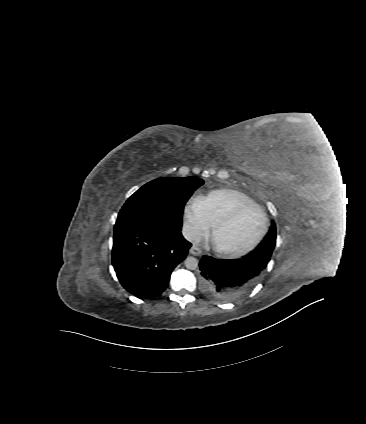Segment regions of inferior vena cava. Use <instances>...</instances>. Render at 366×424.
Instances as JSON below:
<instances>
[{
	"instance_id": "inferior-vena-cava-1",
	"label": "inferior vena cava",
	"mask_w": 366,
	"mask_h": 424,
	"mask_svg": "<svg viewBox=\"0 0 366 424\" xmlns=\"http://www.w3.org/2000/svg\"><path fill=\"white\" fill-rule=\"evenodd\" d=\"M182 234L184 238L191 243L197 244L200 242V235L198 231L191 225H185L182 229Z\"/></svg>"
}]
</instances>
